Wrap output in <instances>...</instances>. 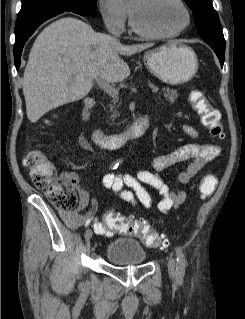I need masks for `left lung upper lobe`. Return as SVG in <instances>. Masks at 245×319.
I'll return each mask as SVG.
<instances>
[{"label":"left lung upper lobe","instance_id":"5c2ea615","mask_svg":"<svg viewBox=\"0 0 245 319\" xmlns=\"http://www.w3.org/2000/svg\"><path fill=\"white\" fill-rule=\"evenodd\" d=\"M194 14L197 29L205 42L225 51V39L212 0H185Z\"/></svg>","mask_w":245,"mask_h":319}]
</instances>
